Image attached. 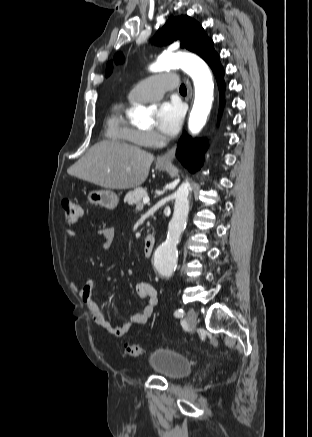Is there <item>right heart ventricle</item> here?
I'll use <instances>...</instances> for the list:
<instances>
[{
	"label": "right heart ventricle",
	"instance_id": "e07e8e85",
	"mask_svg": "<svg viewBox=\"0 0 312 437\" xmlns=\"http://www.w3.org/2000/svg\"><path fill=\"white\" fill-rule=\"evenodd\" d=\"M107 137L121 144L143 146L142 132L135 128L124 114L122 104L115 105L106 120Z\"/></svg>",
	"mask_w": 312,
	"mask_h": 437
}]
</instances>
